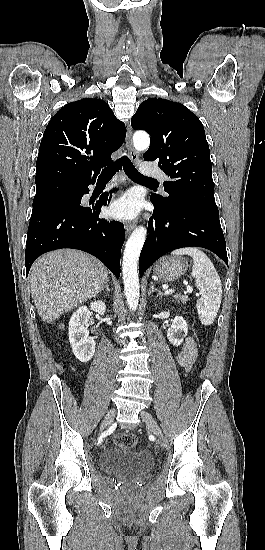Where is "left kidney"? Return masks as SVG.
I'll list each match as a JSON object with an SVG mask.
<instances>
[{"label":"left kidney","mask_w":265,"mask_h":550,"mask_svg":"<svg viewBox=\"0 0 265 550\" xmlns=\"http://www.w3.org/2000/svg\"><path fill=\"white\" fill-rule=\"evenodd\" d=\"M188 333V326L185 319L181 316L174 318L171 327L167 331V338L174 346H179Z\"/></svg>","instance_id":"left-kidney-1"}]
</instances>
